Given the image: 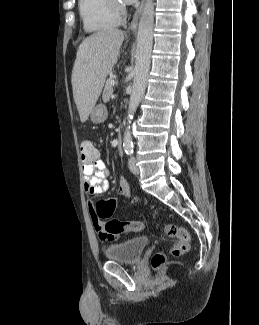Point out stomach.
Masks as SVG:
<instances>
[{
	"label": "stomach",
	"mask_w": 259,
	"mask_h": 325,
	"mask_svg": "<svg viewBox=\"0 0 259 325\" xmlns=\"http://www.w3.org/2000/svg\"><path fill=\"white\" fill-rule=\"evenodd\" d=\"M91 121L95 124L102 123L107 118V109L105 105L98 104L91 111Z\"/></svg>",
	"instance_id": "stomach-1"
}]
</instances>
